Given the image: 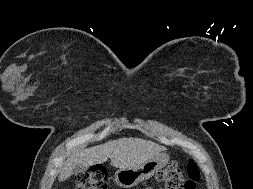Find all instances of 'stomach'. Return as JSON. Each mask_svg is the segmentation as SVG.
<instances>
[{"label":"stomach","instance_id":"1","mask_svg":"<svg viewBox=\"0 0 253 189\" xmlns=\"http://www.w3.org/2000/svg\"><path fill=\"white\" fill-rule=\"evenodd\" d=\"M169 155L160 153L136 168L119 169L115 173V182L122 188H131L151 178L169 162Z\"/></svg>","mask_w":253,"mask_h":189}]
</instances>
